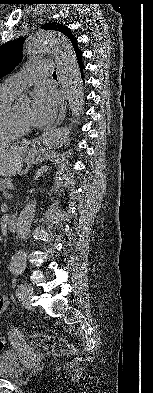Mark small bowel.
I'll return each instance as SVG.
<instances>
[{
    "mask_svg": "<svg viewBox=\"0 0 153 393\" xmlns=\"http://www.w3.org/2000/svg\"><path fill=\"white\" fill-rule=\"evenodd\" d=\"M1 302L3 305L0 307V318H1L2 314L4 313V311L8 308L9 303H10V299L8 296H3L0 298V303ZM19 337H22V335L20 333H19Z\"/></svg>",
    "mask_w": 153,
    "mask_h": 393,
    "instance_id": "small-bowel-1",
    "label": "small bowel"
}]
</instances>
